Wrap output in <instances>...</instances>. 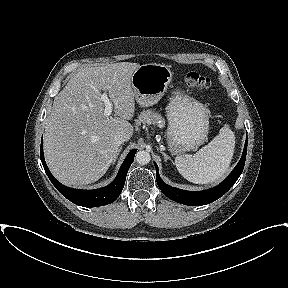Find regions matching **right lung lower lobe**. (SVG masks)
Wrapping results in <instances>:
<instances>
[{"mask_svg": "<svg viewBox=\"0 0 288 288\" xmlns=\"http://www.w3.org/2000/svg\"><path fill=\"white\" fill-rule=\"evenodd\" d=\"M137 149H134L129 152L126 159L124 160L123 164L120 167L118 175L116 179L108 186L96 189V190H81V189H72L66 187L59 183L50 173L48 167L46 166L44 156H43V143L41 141V162L45 169L47 176L49 177L50 181L53 183L55 188L68 200L83 207H97L110 204L114 202L117 197L122 192L124 187L126 175L128 169L132 162L134 161L135 153Z\"/></svg>", "mask_w": 288, "mask_h": 288, "instance_id": "98d812e1", "label": "right lung lower lobe"}]
</instances>
